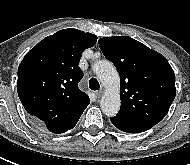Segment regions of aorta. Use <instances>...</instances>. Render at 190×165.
Here are the masks:
<instances>
[{
  "mask_svg": "<svg viewBox=\"0 0 190 165\" xmlns=\"http://www.w3.org/2000/svg\"><path fill=\"white\" fill-rule=\"evenodd\" d=\"M93 71L106 87L101 98V110L107 116H115L120 109L119 83L120 78L115 66L108 60L97 61L93 65Z\"/></svg>",
  "mask_w": 190,
  "mask_h": 165,
  "instance_id": "obj_1",
  "label": "aorta"
}]
</instances>
